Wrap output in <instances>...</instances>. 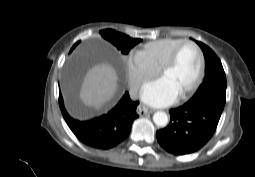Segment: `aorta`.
<instances>
[{"label": "aorta", "mask_w": 255, "mask_h": 177, "mask_svg": "<svg viewBox=\"0 0 255 177\" xmlns=\"http://www.w3.org/2000/svg\"><path fill=\"white\" fill-rule=\"evenodd\" d=\"M154 123L159 127H165L168 124V116L165 112L158 111L153 115Z\"/></svg>", "instance_id": "aorta-1"}]
</instances>
